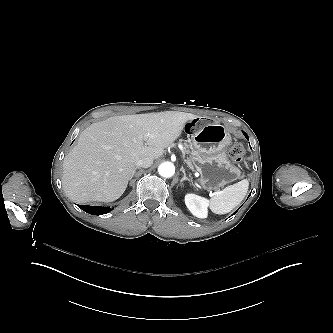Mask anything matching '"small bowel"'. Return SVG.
<instances>
[{
  "label": "small bowel",
  "mask_w": 333,
  "mask_h": 333,
  "mask_svg": "<svg viewBox=\"0 0 333 333\" xmlns=\"http://www.w3.org/2000/svg\"><path fill=\"white\" fill-rule=\"evenodd\" d=\"M183 130L185 132H196L198 130V123L194 120V119H187L184 123H183Z\"/></svg>",
  "instance_id": "c3829d8e"
}]
</instances>
